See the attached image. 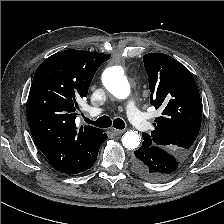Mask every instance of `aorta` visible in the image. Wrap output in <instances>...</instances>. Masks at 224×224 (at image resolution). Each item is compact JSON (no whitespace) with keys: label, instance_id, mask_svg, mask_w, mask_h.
<instances>
[{"label":"aorta","instance_id":"obj_1","mask_svg":"<svg viewBox=\"0 0 224 224\" xmlns=\"http://www.w3.org/2000/svg\"><path fill=\"white\" fill-rule=\"evenodd\" d=\"M106 89L118 99H126L130 95V85L120 66L107 68L102 75ZM141 137L137 131H127L122 136V144L127 149H135L140 145Z\"/></svg>","mask_w":224,"mask_h":224}]
</instances>
